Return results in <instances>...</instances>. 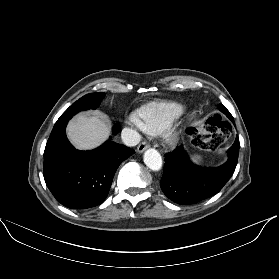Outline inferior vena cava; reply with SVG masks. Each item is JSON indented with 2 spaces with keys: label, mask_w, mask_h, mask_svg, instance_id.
Masks as SVG:
<instances>
[{
  "label": "inferior vena cava",
  "mask_w": 279,
  "mask_h": 279,
  "mask_svg": "<svg viewBox=\"0 0 279 279\" xmlns=\"http://www.w3.org/2000/svg\"><path fill=\"white\" fill-rule=\"evenodd\" d=\"M121 138L124 144L129 147L136 146L141 140L139 133L130 128H124L122 130Z\"/></svg>",
  "instance_id": "1"
}]
</instances>
